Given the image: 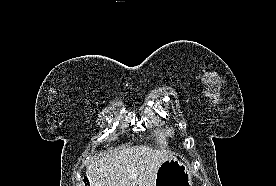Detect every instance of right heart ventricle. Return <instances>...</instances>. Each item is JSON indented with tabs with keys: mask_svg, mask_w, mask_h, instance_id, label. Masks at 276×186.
Instances as JSON below:
<instances>
[{
	"mask_svg": "<svg viewBox=\"0 0 276 186\" xmlns=\"http://www.w3.org/2000/svg\"><path fill=\"white\" fill-rule=\"evenodd\" d=\"M155 139L160 146H165L167 143V134L164 130L155 132Z\"/></svg>",
	"mask_w": 276,
	"mask_h": 186,
	"instance_id": "obj_1",
	"label": "right heart ventricle"
}]
</instances>
